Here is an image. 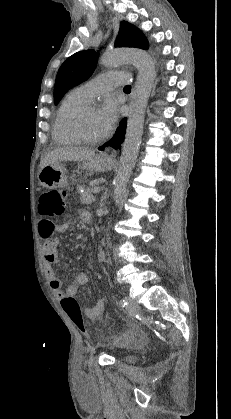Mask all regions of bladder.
<instances>
[{
    "label": "bladder",
    "mask_w": 231,
    "mask_h": 419,
    "mask_svg": "<svg viewBox=\"0 0 231 419\" xmlns=\"http://www.w3.org/2000/svg\"><path fill=\"white\" fill-rule=\"evenodd\" d=\"M138 357L134 354H124L121 356L120 361L124 363H136Z\"/></svg>",
    "instance_id": "31cf9c89"
}]
</instances>
